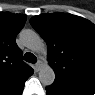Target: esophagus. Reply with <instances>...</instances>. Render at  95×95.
Instances as JSON below:
<instances>
[{
	"label": "esophagus",
	"instance_id": "obj_1",
	"mask_svg": "<svg viewBox=\"0 0 95 95\" xmlns=\"http://www.w3.org/2000/svg\"><path fill=\"white\" fill-rule=\"evenodd\" d=\"M42 66H43V62L39 60V61L36 63V65H35L36 71H39V70L42 68Z\"/></svg>",
	"mask_w": 95,
	"mask_h": 95
}]
</instances>
